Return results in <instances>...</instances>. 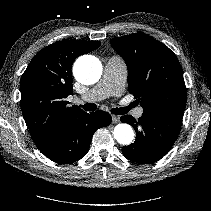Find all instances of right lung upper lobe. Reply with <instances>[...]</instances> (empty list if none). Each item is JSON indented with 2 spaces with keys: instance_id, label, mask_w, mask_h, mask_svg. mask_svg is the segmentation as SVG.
Returning a JSON list of instances; mask_svg holds the SVG:
<instances>
[{
  "instance_id": "obj_1",
  "label": "right lung upper lobe",
  "mask_w": 211,
  "mask_h": 211,
  "mask_svg": "<svg viewBox=\"0 0 211 211\" xmlns=\"http://www.w3.org/2000/svg\"><path fill=\"white\" fill-rule=\"evenodd\" d=\"M99 46V41H58L39 51L27 66L20 82V105L38 148L48 143L75 115L83 112L76 105L67 106L66 98L73 93L71 67L78 56Z\"/></svg>"
}]
</instances>
